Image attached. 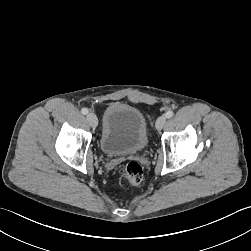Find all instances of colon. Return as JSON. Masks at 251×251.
Returning <instances> with one entry per match:
<instances>
[{
  "label": "colon",
  "mask_w": 251,
  "mask_h": 251,
  "mask_svg": "<svg viewBox=\"0 0 251 251\" xmlns=\"http://www.w3.org/2000/svg\"><path fill=\"white\" fill-rule=\"evenodd\" d=\"M103 113V108L98 110V114ZM120 178L132 185L139 184L143 179V169L137 162L131 161L118 170Z\"/></svg>",
  "instance_id": "obj_1"
}]
</instances>
